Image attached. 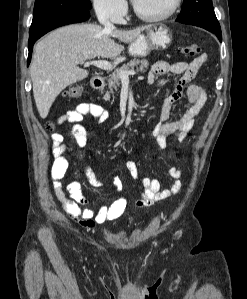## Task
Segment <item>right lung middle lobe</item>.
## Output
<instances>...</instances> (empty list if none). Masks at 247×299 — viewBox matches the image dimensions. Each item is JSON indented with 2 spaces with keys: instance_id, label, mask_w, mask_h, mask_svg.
<instances>
[{
  "instance_id": "obj_1",
  "label": "right lung middle lobe",
  "mask_w": 247,
  "mask_h": 299,
  "mask_svg": "<svg viewBox=\"0 0 247 299\" xmlns=\"http://www.w3.org/2000/svg\"><path fill=\"white\" fill-rule=\"evenodd\" d=\"M90 0H36L29 33L70 12L90 10Z\"/></svg>"
}]
</instances>
